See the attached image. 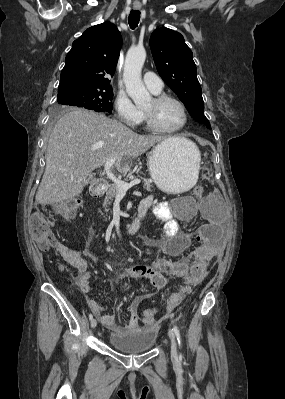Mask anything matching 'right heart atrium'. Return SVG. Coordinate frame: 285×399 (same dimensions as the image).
Instances as JSON below:
<instances>
[{
  "label": "right heart atrium",
  "instance_id": "d8ad5b80",
  "mask_svg": "<svg viewBox=\"0 0 285 399\" xmlns=\"http://www.w3.org/2000/svg\"><path fill=\"white\" fill-rule=\"evenodd\" d=\"M115 111L117 118L131 127L138 125L142 120V111L125 93L117 95Z\"/></svg>",
  "mask_w": 285,
  "mask_h": 399
}]
</instances>
